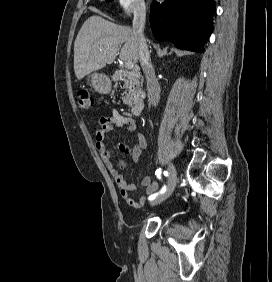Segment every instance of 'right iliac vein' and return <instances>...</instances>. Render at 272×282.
I'll list each match as a JSON object with an SVG mask.
<instances>
[{
	"mask_svg": "<svg viewBox=\"0 0 272 282\" xmlns=\"http://www.w3.org/2000/svg\"><path fill=\"white\" fill-rule=\"evenodd\" d=\"M177 182V171L175 166L170 163L169 164V177L167 181V187L163 194H161L158 198L154 199L150 205L155 206L166 200L174 191Z\"/></svg>",
	"mask_w": 272,
	"mask_h": 282,
	"instance_id": "1",
	"label": "right iliac vein"
}]
</instances>
